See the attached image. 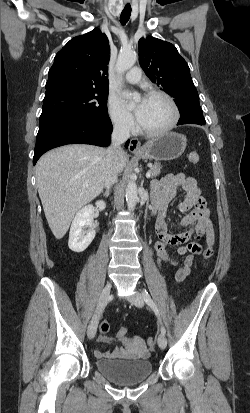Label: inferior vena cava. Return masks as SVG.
Returning <instances> with one entry per match:
<instances>
[{"label":"inferior vena cava","mask_w":250,"mask_h":413,"mask_svg":"<svg viewBox=\"0 0 250 413\" xmlns=\"http://www.w3.org/2000/svg\"><path fill=\"white\" fill-rule=\"evenodd\" d=\"M129 137L130 131L127 125L122 121H116L111 135V145L106 149L105 187L107 190L117 182L119 171L115 160L122 151L121 144L126 142Z\"/></svg>","instance_id":"1"}]
</instances>
